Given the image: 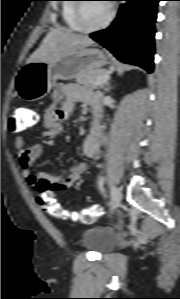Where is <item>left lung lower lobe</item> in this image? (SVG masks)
Wrapping results in <instances>:
<instances>
[{
    "instance_id": "left-lung-lower-lobe-1",
    "label": "left lung lower lobe",
    "mask_w": 180,
    "mask_h": 299,
    "mask_svg": "<svg viewBox=\"0 0 180 299\" xmlns=\"http://www.w3.org/2000/svg\"><path fill=\"white\" fill-rule=\"evenodd\" d=\"M119 13L110 27L90 34L124 63L153 70L154 23L160 0H122Z\"/></svg>"
}]
</instances>
